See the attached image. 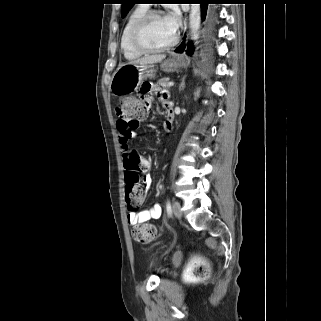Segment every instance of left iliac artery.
Segmentation results:
<instances>
[{
	"label": "left iliac artery",
	"instance_id": "1",
	"mask_svg": "<svg viewBox=\"0 0 321 321\" xmlns=\"http://www.w3.org/2000/svg\"><path fill=\"white\" fill-rule=\"evenodd\" d=\"M166 210H167L168 216H171L172 210H171V204L169 200L167 201V204H166Z\"/></svg>",
	"mask_w": 321,
	"mask_h": 321
}]
</instances>
